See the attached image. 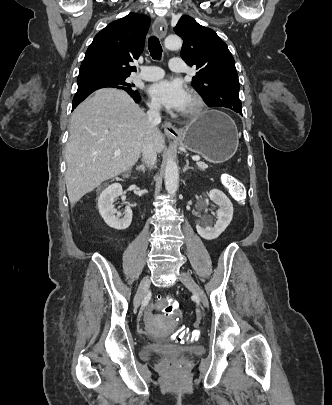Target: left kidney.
I'll list each match as a JSON object with an SVG mask.
<instances>
[{
    "label": "left kidney",
    "mask_w": 332,
    "mask_h": 405,
    "mask_svg": "<svg viewBox=\"0 0 332 405\" xmlns=\"http://www.w3.org/2000/svg\"><path fill=\"white\" fill-rule=\"evenodd\" d=\"M209 198L219 206V209L216 211L217 221L215 222L214 227H211L208 225L207 220H202L200 224L205 228L197 224L196 230L202 238L213 240L219 237V235L230 224L233 217V205L229 198L220 190H211Z\"/></svg>",
    "instance_id": "obj_1"
}]
</instances>
